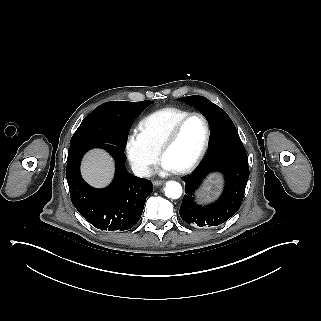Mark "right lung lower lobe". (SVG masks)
<instances>
[{
	"label": "right lung lower lobe",
	"mask_w": 321,
	"mask_h": 321,
	"mask_svg": "<svg viewBox=\"0 0 321 321\" xmlns=\"http://www.w3.org/2000/svg\"><path fill=\"white\" fill-rule=\"evenodd\" d=\"M112 142L78 143L68 149L66 178L75 208L94 227L105 231H124L140 219L147 196L153 191L152 182L133 176L124 167L128 133L133 120L143 111L125 101L107 102L99 107ZM92 148H104L116 162L113 182L105 189L89 186L81 177L80 162Z\"/></svg>",
	"instance_id": "98d812e1"
}]
</instances>
